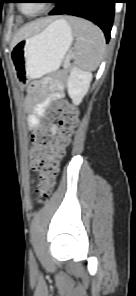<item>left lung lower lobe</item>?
Here are the masks:
<instances>
[{
  "mask_svg": "<svg viewBox=\"0 0 136 296\" xmlns=\"http://www.w3.org/2000/svg\"><path fill=\"white\" fill-rule=\"evenodd\" d=\"M117 0H56L49 15L68 14L82 17L98 25L109 42Z\"/></svg>",
  "mask_w": 136,
  "mask_h": 296,
  "instance_id": "0a47b994",
  "label": "left lung lower lobe"
}]
</instances>
